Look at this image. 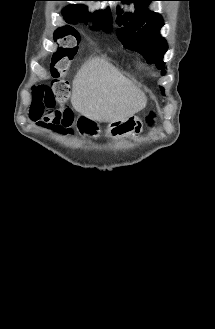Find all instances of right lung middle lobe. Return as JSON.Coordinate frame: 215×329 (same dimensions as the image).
<instances>
[{"mask_svg":"<svg viewBox=\"0 0 215 329\" xmlns=\"http://www.w3.org/2000/svg\"><path fill=\"white\" fill-rule=\"evenodd\" d=\"M77 21H78V22H81V23L84 22V21H83L81 18H79V17H76L74 20H72V21H70V22L67 21V22H68V23H76ZM70 31H72L71 28H69V29L66 28V30H63L62 32H64V34H66V33L70 32ZM58 36H60V34H57L55 38H57Z\"/></svg>","mask_w":215,"mask_h":329,"instance_id":"dd1d6c3e","label":"right lung middle lobe"}]
</instances>
